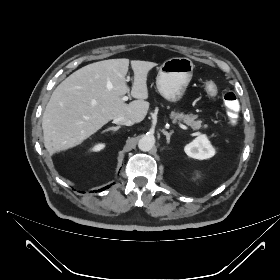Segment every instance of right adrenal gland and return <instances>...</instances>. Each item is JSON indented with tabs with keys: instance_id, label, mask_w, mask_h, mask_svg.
I'll return each instance as SVG.
<instances>
[{
	"instance_id": "obj_1",
	"label": "right adrenal gland",
	"mask_w": 280,
	"mask_h": 280,
	"mask_svg": "<svg viewBox=\"0 0 280 280\" xmlns=\"http://www.w3.org/2000/svg\"><path fill=\"white\" fill-rule=\"evenodd\" d=\"M121 126H116V127H110L106 130H104L102 133L108 132V131H112L113 133H115Z\"/></svg>"
}]
</instances>
